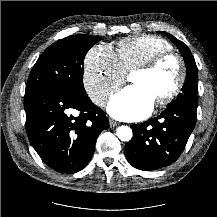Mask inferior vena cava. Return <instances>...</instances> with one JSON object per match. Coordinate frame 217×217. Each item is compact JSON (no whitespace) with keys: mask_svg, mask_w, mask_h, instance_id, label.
I'll list each match as a JSON object with an SVG mask.
<instances>
[{"mask_svg":"<svg viewBox=\"0 0 217 217\" xmlns=\"http://www.w3.org/2000/svg\"><path fill=\"white\" fill-rule=\"evenodd\" d=\"M106 100V96L102 95L96 100V104H103Z\"/></svg>","mask_w":217,"mask_h":217,"instance_id":"1","label":"inferior vena cava"}]
</instances>
